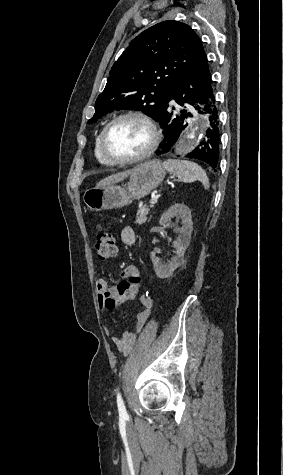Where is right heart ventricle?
I'll return each instance as SVG.
<instances>
[{"instance_id":"right-heart-ventricle-1","label":"right heart ventricle","mask_w":283,"mask_h":475,"mask_svg":"<svg viewBox=\"0 0 283 475\" xmlns=\"http://www.w3.org/2000/svg\"><path fill=\"white\" fill-rule=\"evenodd\" d=\"M101 131L96 135L95 140H94V146H93V152L96 160L98 162H107L101 155L100 153V148H99V137H100Z\"/></svg>"}]
</instances>
